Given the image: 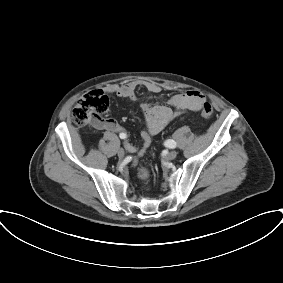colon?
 <instances>
[{
	"instance_id": "1",
	"label": "colon",
	"mask_w": 283,
	"mask_h": 283,
	"mask_svg": "<svg viewBox=\"0 0 283 283\" xmlns=\"http://www.w3.org/2000/svg\"><path fill=\"white\" fill-rule=\"evenodd\" d=\"M109 112V100L100 91H90L82 95L75 103L71 117L73 122L78 126L93 124L101 126L105 119L104 117ZM213 114V108L210 103L204 102L200 105V115L203 118H210ZM139 176L142 180L149 178V171L145 167L139 170Z\"/></svg>"
}]
</instances>
